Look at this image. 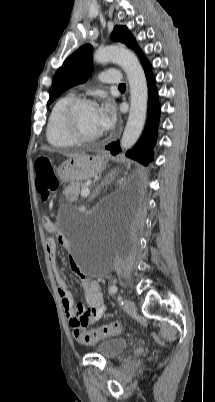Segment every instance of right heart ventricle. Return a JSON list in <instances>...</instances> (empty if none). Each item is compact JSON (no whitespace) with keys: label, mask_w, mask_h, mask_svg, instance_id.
Masks as SVG:
<instances>
[{"label":"right heart ventricle","mask_w":215,"mask_h":402,"mask_svg":"<svg viewBox=\"0 0 215 402\" xmlns=\"http://www.w3.org/2000/svg\"><path fill=\"white\" fill-rule=\"evenodd\" d=\"M75 98L73 93H67L58 98L53 104L46 126V139L48 143L56 148H69L76 144L67 133L62 125V115L67 104Z\"/></svg>","instance_id":"e07e8e85"}]
</instances>
